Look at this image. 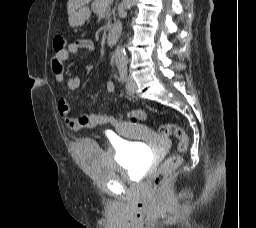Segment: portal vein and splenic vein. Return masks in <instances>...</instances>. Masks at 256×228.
<instances>
[{"mask_svg": "<svg viewBox=\"0 0 256 228\" xmlns=\"http://www.w3.org/2000/svg\"><path fill=\"white\" fill-rule=\"evenodd\" d=\"M105 3L109 4L111 3L113 0H103Z\"/></svg>", "mask_w": 256, "mask_h": 228, "instance_id": "obj_1", "label": "portal vein and splenic vein"}]
</instances>
